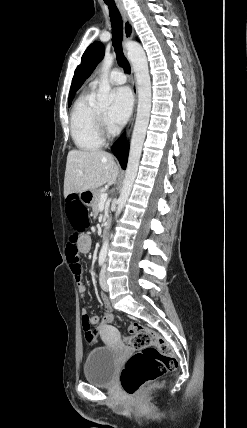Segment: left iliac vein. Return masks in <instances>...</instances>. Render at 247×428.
Returning <instances> with one entry per match:
<instances>
[{
    "mask_svg": "<svg viewBox=\"0 0 247 428\" xmlns=\"http://www.w3.org/2000/svg\"><path fill=\"white\" fill-rule=\"evenodd\" d=\"M106 271H107V266L106 264L102 267L101 272H100V286L104 291H108V283L106 280Z\"/></svg>",
    "mask_w": 247,
    "mask_h": 428,
    "instance_id": "obj_1",
    "label": "left iliac vein"
}]
</instances>
